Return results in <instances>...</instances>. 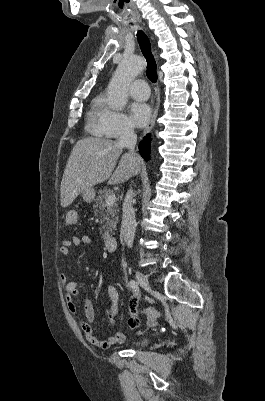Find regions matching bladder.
Segmentation results:
<instances>
[{"instance_id": "1", "label": "bladder", "mask_w": 265, "mask_h": 401, "mask_svg": "<svg viewBox=\"0 0 265 401\" xmlns=\"http://www.w3.org/2000/svg\"><path fill=\"white\" fill-rule=\"evenodd\" d=\"M148 340L147 339H141V340H137L134 343H132V345L136 348L142 347L145 344H147Z\"/></svg>"}]
</instances>
